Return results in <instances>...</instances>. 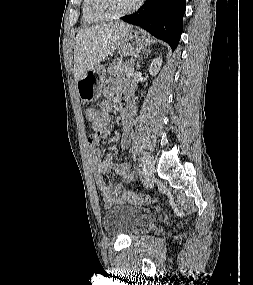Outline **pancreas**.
<instances>
[{
    "label": "pancreas",
    "instance_id": "obj_1",
    "mask_svg": "<svg viewBox=\"0 0 253 285\" xmlns=\"http://www.w3.org/2000/svg\"><path fill=\"white\" fill-rule=\"evenodd\" d=\"M132 65V61H128L126 63L116 62L108 68L107 73L111 76H125L127 75V72L132 68Z\"/></svg>",
    "mask_w": 253,
    "mask_h": 285
}]
</instances>
